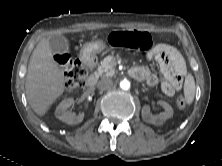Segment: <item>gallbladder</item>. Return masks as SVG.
I'll use <instances>...</instances> for the list:
<instances>
[{"label":"gallbladder","instance_id":"bac80fb5","mask_svg":"<svg viewBox=\"0 0 222 166\" xmlns=\"http://www.w3.org/2000/svg\"><path fill=\"white\" fill-rule=\"evenodd\" d=\"M49 44L54 53H66L69 48L67 39L63 35H53L49 39Z\"/></svg>","mask_w":222,"mask_h":166}]
</instances>
